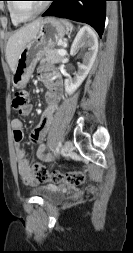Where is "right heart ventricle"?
Returning a JSON list of instances; mask_svg holds the SVG:
<instances>
[{"instance_id": "1", "label": "right heart ventricle", "mask_w": 133, "mask_h": 253, "mask_svg": "<svg viewBox=\"0 0 133 253\" xmlns=\"http://www.w3.org/2000/svg\"><path fill=\"white\" fill-rule=\"evenodd\" d=\"M7 10L11 19V22L14 26L20 25L22 22L18 21L12 14L11 8H10V3L7 4Z\"/></svg>"}]
</instances>
